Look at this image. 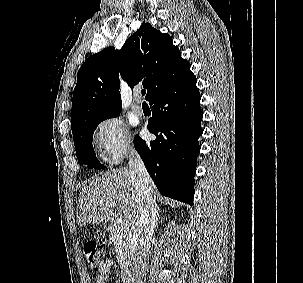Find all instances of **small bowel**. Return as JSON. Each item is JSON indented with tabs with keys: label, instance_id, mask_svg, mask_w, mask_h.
I'll use <instances>...</instances> for the list:
<instances>
[{
	"label": "small bowel",
	"instance_id": "obj_1",
	"mask_svg": "<svg viewBox=\"0 0 303 283\" xmlns=\"http://www.w3.org/2000/svg\"><path fill=\"white\" fill-rule=\"evenodd\" d=\"M112 265H113V262L111 260L106 262L103 270L100 272V275H99L96 283H105L106 282L109 272L112 268Z\"/></svg>",
	"mask_w": 303,
	"mask_h": 283
}]
</instances>
